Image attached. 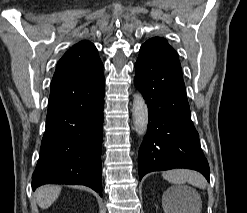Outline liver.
Returning a JSON list of instances; mask_svg holds the SVG:
<instances>
[{"mask_svg":"<svg viewBox=\"0 0 247 213\" xmlns=\"http://www.w3.org/2000/svg\"><path fill=\"white\" fill-rule=\"evenodd\" d=\"M61 187L57 185H47L38 188L35 191V198L40 208L46 209L50 207L58 198Z\"/></svg>","mask_w":247,"mask_h":213,"instance_id":"liver-1","label":"liver"}]
</instances>
